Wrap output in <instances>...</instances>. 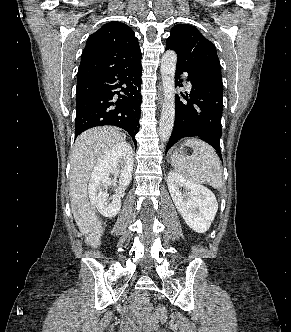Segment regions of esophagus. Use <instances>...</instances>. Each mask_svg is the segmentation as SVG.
<instances>
[{
  "instance_id": "esophagus-1",
  "label": "esophagus",
  "mask_w": 291,
  "mask_h": 332,
  "mask_svg": "<svg viewBox=\"0 0 291 332\" xmlns=\"http://www.w3.org/2000/svg\"><path fill=\"white\" fill-rule=\"evenodd\" d=\"M159 93H160V94H159L160 99H162V88H161V87L159 88Z\"/></svg>"
}]
</instances>
